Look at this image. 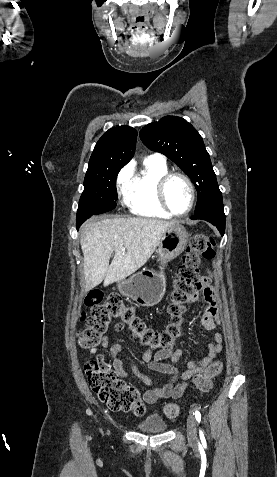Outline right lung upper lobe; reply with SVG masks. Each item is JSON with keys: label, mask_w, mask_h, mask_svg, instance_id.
<instances>
[{"label": "right lung upper lobe", "mask_w": 277, "mask_h": 477, "mask_svg": "<svg viewBox=\"0 0 277 477\" xmlns=\"http://www.w3.org/2000/svg\"><path fill=\"white\" fill-rule=\"evenodd\" d=\"M137 131L129 126L112 127L96 143L87 173L123 167L133 157Z\"/></svg>", "instance_id": "cb5924a9"}]
</instances>
